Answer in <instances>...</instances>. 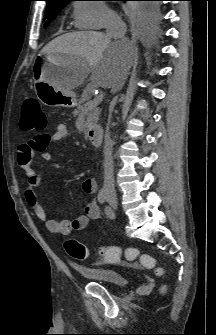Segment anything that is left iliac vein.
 <instances>
[{
	"label": "left iliac vein",
	"instance_id": "4c4485c4",
	"mask_svg": "<svg viewBox=\"0 0 216 335\" xmlns=\"http://www.w3.org/2000/svg\"><path fill=\"white\" fill-rule=\"evenodd\" d=\"M112 206H113V208H114V209H116V207H117V205H116V204H112ZM111 217H114V214H113V212H112V215H111Z\"/></svg>",
	"mask_w": 216,
	"mask_h": 335
}]
</instances>
